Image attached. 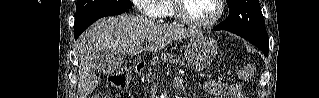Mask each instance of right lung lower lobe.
I'll return each mask as SVG.
<instances>
[{
  "instance_id": "1",
  "label": "right lung lower lobe",
  "mask_w": 319,
  "mask_h": 98,
  "mask_svg": "<svg viewBox=\"0 0 319 98\" xmlns=\"http://www.w3.org/2000/svg\"><path fill=\"white\" fill-rule=\"evenodd\" d=\"M125 11H103L92 14H87L81 17H77L74 23V37L77 39L79 35L93 22L98 20L99 18L106 16H114L119 15Z\"/></svg>"
}]
</instances>
